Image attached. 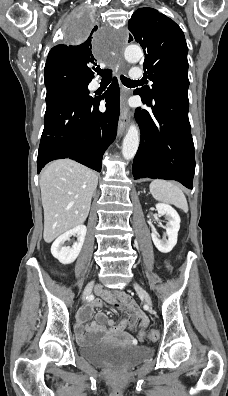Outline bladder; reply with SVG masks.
Here are the masks:
<instances>
[{"mask_svg":"<svg viewBox=\"0 0 228 396\" xmlns=\"http://www.w3.org/2000/svg\"><path fill=\"white\" fill-rule=\"evenodd\" d=\"M81 355L87 361L100 366L130 367L149 358L152 349L106 342L82 348Z\"/></svg>","mask_w":228,"mask_h":396,"instance_id":"bladder-1","label":"bladder"}]
</instances>
